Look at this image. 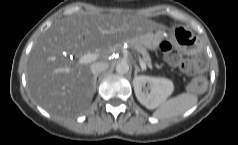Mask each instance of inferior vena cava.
<instances>
[{"label":"inferior vena cava","mask_w":238,"mask_h":145,"mask_svg":"<svg viewBox=\"0 0 238 145\" xmlns=\"http://www.w3.org/2000/svg\"><path fill=\"white\" fill-rule=\"evenodd\" d=\"M109 67V64L107 62H95L91 64V72L93 75H99L101 72L107 70Z\"/></svg>","instance_id":"602c4592"}]
</instances>
